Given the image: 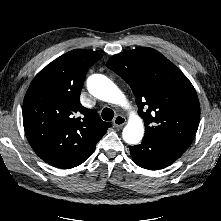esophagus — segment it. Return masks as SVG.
<instances>
[{
	"label": "esophagus",
	"instance_id": "esophagus-1",
	"mask_svg": "<svg viewBox=\"0 0 221 221\" xmlns=\"http://www.w3.org/2000/svg\"><path fill=\"white\" fill-rule=\"evenodd\" d=\"M125 123H126V119L121 115H117L113 120V125L116 128L122 127L123 125H125Z\"/></svg>",
	"mask_w": 221,
	"mask_h": 221
}]
</instances>
